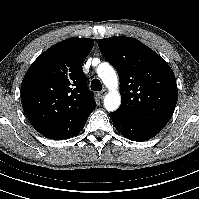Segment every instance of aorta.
Instances as JSON below:
<instances>
[{"label": "aorta", "mask_w": 199, "mask_h": 199, "mask_svg": "<svg viewBox=\"0 0 199 199\" xmlns=\"http://www.w3.org/2000/svg\"><path fill=\"white\" fill-rule=\"evenodd\" d=\"M97 74L109 92L104 98V107L108 111H115L121 104V96L118 91V77L114 68L108 63H101L97 68Z\"/></svg>", "instance_id": "762f6f07"}]
</instances>
